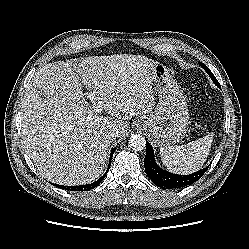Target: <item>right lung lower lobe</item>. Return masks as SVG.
Listing matches in <instances>:
<instances>
[{"mask_svg": "<svg viewBox=\"0 0 249 249\" xmlns=\"http://www.w3.org/2000/svg\"><path fill=\"white\" fill-rule=\"evenodd\" d=\"M116 148H113L112 151H111V154H110V160H109V166L107 168V171L106 173L100 178L98 179L97 181L91 183V184H88V185H79V186H63V185H56L62 189H66V190H71V191H85V190H89V189H93L95 187H97L99 185V183L104 179V177L106 176L109 168H110V164H111V159H112V156L114 154V151H115Z\"/></svg>", "mask_w": 249, "mask_h": 249, "instance_id": "right-lung-lower-lobe-1", "label": "right lung lower lobe"}]
</instances>
